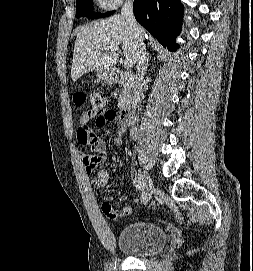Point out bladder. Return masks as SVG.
Instances as JSON below:
<instances>
[{"label":"bladder","mask_w":253,"mask_h":271,"mask_svg":"<svg viewBox=\"0 0 253 271\" xmlns=\"http://www.w3.org/2000/svg\"><path fill=\"white\" fill-rule=\"evenodd\" d=\"M168 243L165 229L152 222H135L125 226L118 234L116 244L130 256L148 257L162 251Z\"/></svg>","instance_id":"31cf9c89"}]
</instances>
